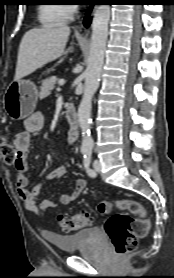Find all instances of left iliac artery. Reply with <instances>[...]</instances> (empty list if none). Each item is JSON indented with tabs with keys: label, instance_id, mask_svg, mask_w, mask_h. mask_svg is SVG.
<instances>
[{
	"label": "left iliac artery",
	"instance_id": "obj_1",
	"mask_svg": "<svg viewBox=\"0 0 174 278\" xmlns=\"http://www.w3.org/2000/svg\"><path fill=\"white\" fill-rule=\"evenodd\" d=\"M90 163H91V151H87L84 155L83 165L85 167L87 174L90 177H95L96 173L94 170L90 168Z\"/></svg>",
	"mask_w": 174,
	"mask_h": 278
}]
</instances>
